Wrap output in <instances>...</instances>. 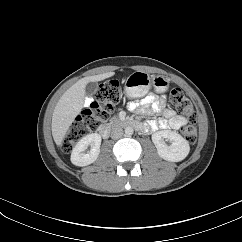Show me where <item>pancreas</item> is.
<instances>
[{
    "mask_svg": "<svg viewBox=\"0 0 242 242\" xmlns=\"http://www.w3.org/2000/svg\"><path fill=\"white\" fill-rule=\"evenodd\" d=\"M117 122H119V121L117 120V118H114V119L111 121V123H117Z\"/></svg>",
    "mask_w": 242,
    "mask_h": 242,
    "instance_id": "cf45deb5",
    "label": "pancreas"
}]
</instances>
